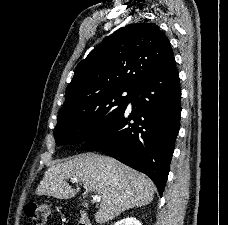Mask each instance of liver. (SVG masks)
<instances>
[{"mask_svg": "<svg viewBox=\"0 0 228 225\" xmlns=\"http://www.w3.org/2000/svg\"><path fill=\"white\" fill-rule=\"evenodd\" d=\"M67 179H77L72 189ZM78 185L101 197L96 223H108L123 211L149 205L154 199V185L146 175L133 171L112 157L83 153L72 161L51 165L39 185L36 195L55 199H73L79 193Z\"/></svg>", "mask_w": 228, "mask_h": 225, "instance_id": "1", "label": "liver"}]
</instances>
